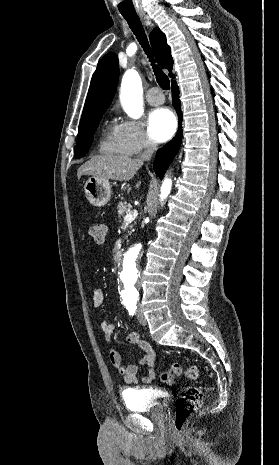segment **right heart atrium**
<instances>
[{"label":"right heart atrium","instance_id":"right-heart-atrium-1","mask_svg":"<svg viewBox=\"0 0 279 465\" xmlns=\"http://www.w3.org/2000/svg\"><path fill=\"white\" fill-rule=\"evenodd\" d=\"M118 132L130 154H138L155 147L154 141L146 134L137 121L123 120L118 125Z\"/></svg>","mask_w":279,"mask_h":465}]
</instances>
